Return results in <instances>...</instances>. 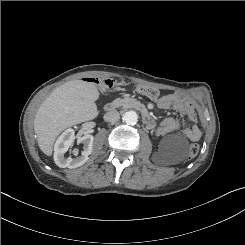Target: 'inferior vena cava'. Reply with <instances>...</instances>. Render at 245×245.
Masks as SVG:
<instances>
[{
    "label": "inferior vena cava",
    "mask_w": 245,
    "mask_h": 245,
    "mask_svg": "<svg viewBox=\"0 0 245 245\" xmlns=\"http://www.w3.org/2000/svg\"><path fill=\"white\" fill-rule=\"evenodd\" d=\"M120 118V114L117 110H110L104 115V120L107 122H116Z\"/></svg>",
    "instance_id": "1"
}]
</instances>
